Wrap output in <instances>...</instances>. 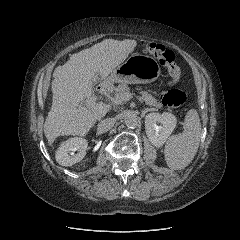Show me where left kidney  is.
<instances>
[{"instance_id": "5707ae66", "label": "left kidney", "mask_w": 240, "mask_h": 240, "mask_svg": "<svg viewBox=\"0 0 240 240\" xmlns=\"http://www.w3.org/2000/svg\"><path fill=\"white\" fill-rule=\"evenodd\" d=\"M160 123L161 125H157ZM177 124L176 117L169 112L149 113L145 117V130L149 141L156 147L162 146Z\"/></svg>"}]
</instances>
